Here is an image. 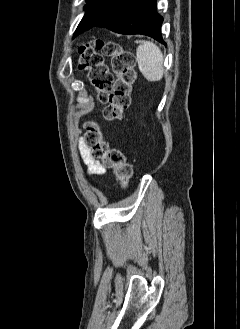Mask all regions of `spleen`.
Segmentation results:
<instances>
[{
  "label": "spleen",
  "mask_w": 240,
  "mask_h": 329,
  "mask_svg": "<svg viewBox=\"0 0 240 329\" xmlns=\"http://www.w3.org/2000/svg\"><path fill=\"white\" fill-rule=\"evenodd\" d=\"M139 46L136 50L140 72L151 82L159 81L164 74L163 54L160 48L150 41H136Z\"/></svg>",
  "instance_id": "spleen-1"
}]
</instances>
